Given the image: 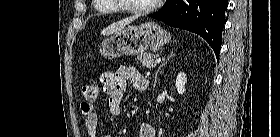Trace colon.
I'll use <instances>...</instances> for the list:
<instances>
[{
    "mask_svg": "<svg viewBox=\"0 0 280 137\" xmlns=\"http://www.w3.org/2000/svg\"><path fill=\"white\" fill-rule=\"evenodd\" d=\"M82 95L87 100H94L98 95V87L95 83H87L82 86Z\"/></svg>",
    "mask_w": 280,
    "mask_h": 137,
    "instance_id": "1",
    "label": "colon"
}]
</instances>
